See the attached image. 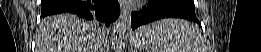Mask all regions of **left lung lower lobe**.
Listing matches in <instances>:
<instances>
[{"label":"left lung lower lobe","instance_id":"left-lung-lower-lobe-1","mask_svg":"<svg viewBox=\"0 0 261 52\" xmlns=\"http://www.w3.org/2000/svg\"><path fill=\"white\" fill-rule=\"evenodd\" d=\"M191 0H150V3L139 12L131 14V27L168 17L184 18L199 23Z\"/></svg>","mask_w":261,"mask_h":52}]
</instances>
